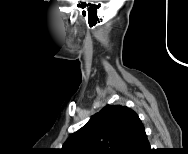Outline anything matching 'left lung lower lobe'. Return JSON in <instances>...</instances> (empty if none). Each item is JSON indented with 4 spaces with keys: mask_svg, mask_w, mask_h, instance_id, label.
I'll return each mask as SVG.
<instances>
[{
    "mask_svg": "<svg viewBox=\"0 0 188 154\" xmlns=\"http://www.w3.org/2000/svg\"><path fill=\"white\" fill-rule=\"evenodd\" d=\"M150 150L149 141L144 126L135 113L132 116L131 129L128 141L125 146V154H147Z\"/></svg>",
    "mask_w": 188,
    "mask_h": 154,
    "instance_id": "0a47b994",
    "label": "left lung lower lobe"
}]
</instances>
